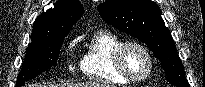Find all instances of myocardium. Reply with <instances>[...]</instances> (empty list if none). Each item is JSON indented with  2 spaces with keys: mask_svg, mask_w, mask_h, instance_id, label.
Segmentation results:
<instances>
[{
  "mask_svg": "<svg viewBox=\"0 0 205 87\" xmlns=\"http://www.w3.org/2000/svg\"><path fill=\"white\" fill-rule=\"evenodd\" d=\"M129 47H137L140 50H142L145 55L148 58L149 61V68L148 71L146 72L145 75L143 76H133L131 75L123 66V54L125 52V50ZM112 62H113V66L116 70V72L125 80H127L128 82H132V83H139V82H143L145 80H147L151 74L154 71V58L153 55L151 53V51L148 49V47L146 45H144L143 43H140L138 41H125L122 42L114 51L113 53V57H112Z\"/></svg>",
  "mask_w": 205,
  "mask_h": 87,
  "instance_id": "f54148a6",
  "label": "myocardium"
}]
</instances>
